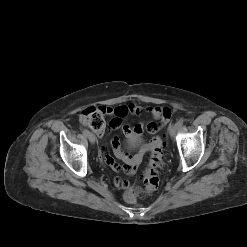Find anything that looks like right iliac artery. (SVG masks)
Segmentation results:
<instances>
[{
    "mask_svg": "<svg viewBox=\"0 0 247 247\" xmlns=\"http://www.w3.org/2000/svg\"><path fill=\"white\" fill-rule=\"evenodd\" d=\"M83 134H84L85 136H88L89 131H88L87 129H84V130H83Z\"/></svg>",
    "mask_w": 247,
    "mask_h": 247,
    "instance_id": "right-iliac-artery-1",
    "label": "right iliac artery"
}]
</instances>
